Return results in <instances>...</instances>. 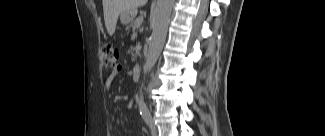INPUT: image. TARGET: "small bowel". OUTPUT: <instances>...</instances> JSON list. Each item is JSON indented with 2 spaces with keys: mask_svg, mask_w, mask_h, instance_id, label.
Listing matches in <instances>:
<instances>
[{
  "mask_svg": "<svg viewBox=\"0 0 325 136\" xmlns=\"http://www.w3.org/2000/svg\"><path fill=\"white\" fill-rule=\"evenodd\" d=\"M119 71H120V68L118 67V68L114 69L110 73V75L108 76V78L105 81V87H106V89H110L112 87L114 78L116 77V75L118 74Z\"/></svg>",
  "mask_w": 325,
  "mask_h": 136,
  "instance_id": "1",
  "label": "small bowel"
}]
</instances>
